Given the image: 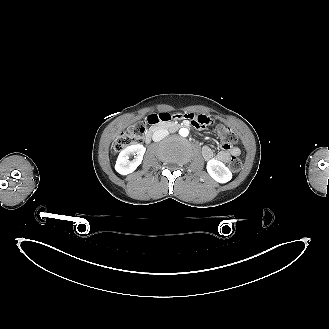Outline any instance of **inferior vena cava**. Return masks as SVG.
<instances>
[{
  "label": "inferior vena cava",
  "mask_w": 329,
  "mask_h": 329,
  "mask_svg": "<svg viewBox=\"0 0 329 329\" xmlns=\"http://www.w3.org/2000/svg\"><path fill=\"white\" fill-rule=\"evenodd\" d=\"M169 135V132L165 129H159L153 133V141L158 142Z\"/></svg>",
  "instance_id": "602c4592"
}]
</instances>
